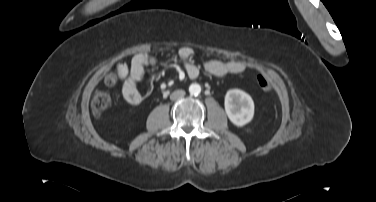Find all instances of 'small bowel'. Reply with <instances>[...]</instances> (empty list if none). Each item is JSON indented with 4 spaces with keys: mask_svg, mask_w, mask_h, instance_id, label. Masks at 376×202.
I'll list each match as a JSON object with an SVG mask.
<instances>
[{
    "mask_svg": "<svg viewBox=\"0 0 376 202\" xmlns=\"http://www.w3.org/2000/svg\"><path fill=\"white\" fill-rule=\"evenodd\" d=\"M194 50L183 46L178 51L185 71L189 78L196 79L200 75L199 68L191 61ZM156 64L155 57L147 53L135 55L130 64L121 62L117 65L119 78L122 80V97L129 105H139L143 96L138 89V83L143 79L145 69ZM204 69L211 75L221 77L226 74H241L246 70V65L239 61L209 60L204 64Z\"/></svg>",
    "mask_w": 376,
    "mask_h": 202,
    "instance_id": "obj_1",
    "label": "small bowel"
}]
</instances>
